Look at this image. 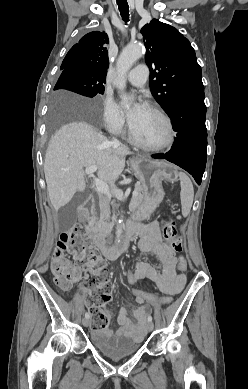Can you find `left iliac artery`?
Returning <instances> with one entry per match:
<instances>
[{
    "label": "left iliac artery",
    "mask_w": 248,
    "mask_h": 389,
    "mask_svg": "<svg viewBox=\"0 0 248 389\" xmlns=\"http://www.w3.org/2000/svg\"><path fill=\"white\" fill-rule=\"evenodd\" d=\"M148 321L152 322V317L151 316L148 317Z\"/></svg>",
    "instance_id": "44dca946"
}]
</instances>
